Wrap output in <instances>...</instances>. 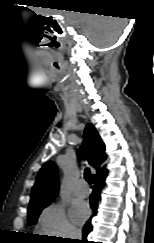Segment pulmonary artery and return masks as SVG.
Wrapping results in <instances>:
<instances>
[{
	"label": "pulmonary artery",
	"mask_w": 154,
	"mask_h": 243,
	"mask_svg": "<svg viewBox=\"0 0 154 243\" xmlns=\"http://www.w3.org/2000/svg\"><path fill=\"white\" fill-rule=\"evenodd\" d=\"M89 192V189L88 187L85 185V182L84 181H80L75 189H74V194L78 197H84L88 194Z\"/></svg>",
	"instance_id": "obj_1"
}]
</instances>
